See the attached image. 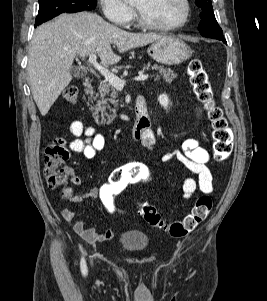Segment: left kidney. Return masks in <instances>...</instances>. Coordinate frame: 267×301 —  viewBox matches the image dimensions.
Listing matches in <instances>:
<instances>
[{
  "mask_svg": "<svg viewBox=\"0 0 267 301\" xmlns=\"http://www.w3.org/2000/svg\"><path fill=\"white\" fill-rule=\"evenodd\" d=\"M160 105L164 108H167L169 105V98L166 94H162L158 97Z\"/></svg>",
  "mask_w": 267,
  "mask_h": 301,
  "instance_id": "obj_1",
  "label": "left kidney"
}]
</instances>
